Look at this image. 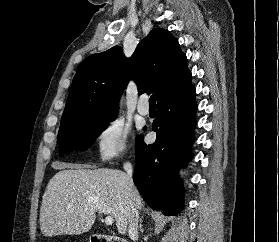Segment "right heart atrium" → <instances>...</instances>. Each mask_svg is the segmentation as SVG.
<instances>
[{"label": "right heart atrium", "instance_id": "right-heart-atrium-1", "mask_svg": "<svg viewBox=\"0 0 279 242\" xmlns=\"http://www.w3.org/2000/svg\"><path fill=\"white\" fill-rule=\"evenodd\" d=\"M129 137L130 127L123 119L110 120L96 137V158L100 162H112L124 157L129 149Z\"/></svg>", "mask_w": 279, "mask_h": 242}]
</instances>
